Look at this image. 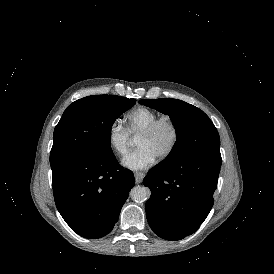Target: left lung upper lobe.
<instances>
[{"instance_id":"left-lung-upper-lobe-1","label":"left lung upper lobe","mask_w":274,"mask_h":274,"mask_svg":"<svg viewBox=\"0 0 274 274\" xmlns=\"http://www.w3.org/2000/svg\"><path fill=\"white\" fill-rule=\"evenodd\" d=\"M140 104L169 115L176 130V143L162 161L172 165L202 153L220 154V138L209 117L199 108L178 99H143Z\"/></svg>"}]
</instances>
